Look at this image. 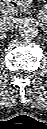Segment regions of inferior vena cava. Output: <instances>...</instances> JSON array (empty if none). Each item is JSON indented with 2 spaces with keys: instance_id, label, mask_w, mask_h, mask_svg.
Masks as SVG:
<instances>
[{
  "instance_id": "1",
  "label": "inferior vena cava",
  "mask_w": 47,
  "mask_h": 129,
  "mask_svg": "<svg viewBox=\"0 0 47 129\" xmlns=\"http://www.w3.org/2000/svg\"><path fill=\"white\" fill-rule=\"evenodd\" d=\"M17 24V18L6 16L1 19L0 28L1 31H8Z\"/></svg>"
}]
</instances>
